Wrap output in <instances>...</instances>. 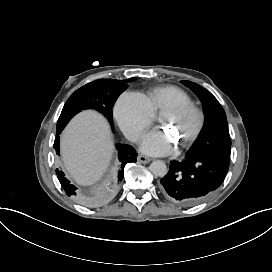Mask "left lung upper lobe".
Listing matches in <instances>:
<instances>
[{
	"mask_svg": "<svg viewBox=\"0 0 272 272\" xmlns=\"http://www.w3.org/2000/svg\"><path fill=\"white\" fill-rule=\"evenodd\" d=\"M190 88L203 104L206 122L203 134L189 155H220L230 159L231 139L224 109L217 99L202 86L187 80Z\"/></svg>",
	"mask_w": 272,
	"mask_h": 272,
	"instance_id": "left-lung-upper-lobe-1",
	"label": "left lung upper lobe"
}]
</instances>
